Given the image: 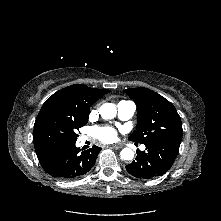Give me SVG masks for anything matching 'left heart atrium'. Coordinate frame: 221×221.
Instances as JSON below:
<instances>
[{"mask_svg":"<svg viewBox=\"0 0 221 221\" xmlns=\"http://www.w3.org/2000/svg\"><path fill=\"white\" fill-rule=\"evenodd\" d=\"M96 136L103 142H111L116 138V130L112 127H98L95 129Z\"/></svg>","mask_w":221,"mask_h":221,"instance_id":"obj_1","label":"left heart atrium"}]
</instances>
